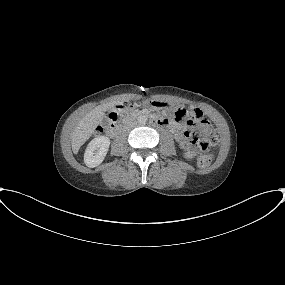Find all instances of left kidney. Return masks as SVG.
Masks as SVG:
<instances>
[{
	"label": "left kidney",
	"instance_id": "5707ae66",
	"mask_svg": "<svg viewBox=\"0 0 285 285\" xmlns=\"http://www.w3.org/2000/svg\"><path fill=\"white\" fill-rule=\"evenodd\" d=\"M185 157H186V158H192V155L189 154V153H185Z\"/></svg>",
	"mask_w": 285,
	"mask_h": 285
}]
</instances>
